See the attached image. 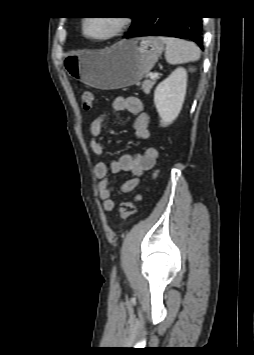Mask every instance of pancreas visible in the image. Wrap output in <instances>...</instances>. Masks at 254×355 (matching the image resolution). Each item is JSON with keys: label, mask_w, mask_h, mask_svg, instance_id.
<instances>
[{"label": "pancreas", "mask_w": 254, "mask_h": 355, "mask_svg": "<svg viewBox=\"0 0 254 355\" xmlns=\"http://www.w3.org/2000/svg\"><path fill=\"white\" fill-rule=\"evenodd\" d=\"M155 84V80H145L142 83V90L145 92V94H149L152 87Z\"/></svg>", "instance_id": "cf45deb5"}]
</instances>
